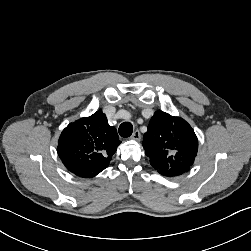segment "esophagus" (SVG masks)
Wrapping results in <instances>:
<instances>
[{
    "label": "esophagus",
    "mask_w": 251,
    "mask_h": 251,
    "mask_svg": "<svg viewBox=\"0 0 251 251\" xmlns=\"http://www.w3.org/2000/svg\"><path fill=\"white\" fill-rule=\"evenodd\" d=\"M130 139L139 141L141 139V134L138 130L134 131V133L131 135Z\"/></svg>",
    "instance_id": "obj_1"
}]
</instances>
